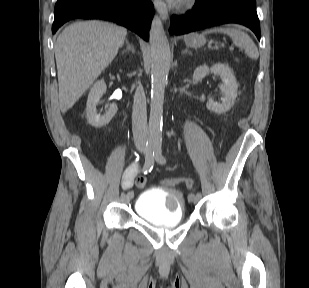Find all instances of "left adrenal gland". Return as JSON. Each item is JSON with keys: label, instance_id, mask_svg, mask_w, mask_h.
Listing matches in <instances>:
<instances>
[{"label": "left adrenal gland", "instance_id": "1", "mask_svg": "<svg viewBox=\"0 0 309 288\" xmlns=\"http://www.w3.org/2000/svg\"><path fill=\"white\" fill-rule=\"evenodd\" d=\"M185 53H188V54L192 55V52L189 51L188 49H185L184 51H182V54H185Z\"/></svg>", "mask_w": 309, "mask_h": 288}]
</instances>
